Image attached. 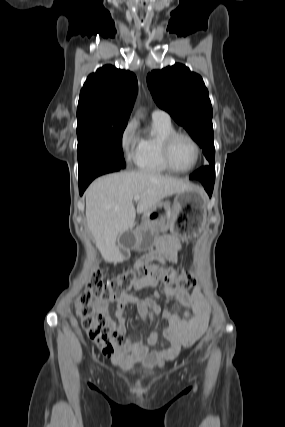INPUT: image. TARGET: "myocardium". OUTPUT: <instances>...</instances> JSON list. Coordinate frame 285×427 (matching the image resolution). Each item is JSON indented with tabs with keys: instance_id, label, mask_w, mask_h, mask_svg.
<instances>
[{
	"instance_id": "f54148a6",
	"label": "myocardium",
	"mask_w": 285,
	"mask_h": 427,
	"mask_svg": "<svg viewBox=\"0 0 285 427\" xmlns=\"http://www.w3.org/2000/svg\"><path fill=\"white\" fill-rule=\"evenodd\" d=\"M179 137H185V138H187L192 143V145L194 146V149H195V159H194V162H193V164L188 169H185V170L177 169L173 165V163L171 161V157H170V152H171L172 144ZM200 152H201L200 151V146H199L198 142L195 140V138L192 135H190L187 132L176 131V130L174 132L170 133L169 135H167L164 138V140L162 142V147H161L162 159H163V162H164L165 166L170 171H172L174 173H178V174H186V173L192 172L196 168V166L198 165V162H199V159H200Z\"/></svg>"
}]
</instances>
